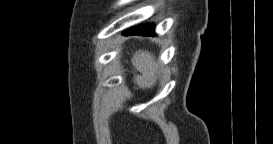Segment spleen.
Masks as SVG:
<instances>
[{"instance_id":"1","label":"spleen","mask_w":273,"mask_h":144,"mask_svg":"<svg viewBox=\"0 0 273 144\" xmlns=\"http://www.w3.org/2000/svg\"><path fill=\"white\" fill-rule=\"evenodd\" d=\"M131 62L142 74L135 76V83L143 89L153 87L156 83L158 68L154 56L146 50H139L134 53Z\"/></svg>"}]
</instances>
